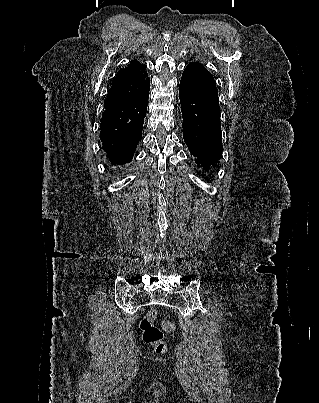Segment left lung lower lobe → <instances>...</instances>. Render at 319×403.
<instances>
[{"instance_id": "1", "label": "left lung lower lobe", "mask_w": 319, "mask_h": 403, "mask_svg": "<svg viewBox=\"0 0 319 403\" xmlns=\"http://www.w3.org/2000/svg\"><path fill=\"white\" fill-rule=\"evenodd\" d=\"M183 138L198 167H215L222 154L220 106L212 74L188 64L179 87Z\"/></svg>"}]
</instances>
